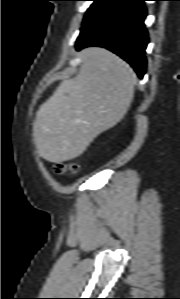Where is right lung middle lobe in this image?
I'll use <instances>...</instances> for the list:
<instances>
[{"label":"right lung middle lobe","instance_id":"1","mask_svg":"<svg viewBox=\"0 0 180 299\" xmlns=\"http://www.w3.org/2000/svg\"><path fill=\"white\" fill-rule=\"evenodd\" d=\"M92 1H94V3L87 10L85 18L90 16L94 11H96L101 5H103L108 0H92Z\"/></svg>","mask_w":180,"mask_h":299}]
</instances>
